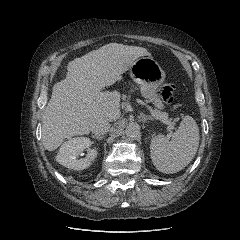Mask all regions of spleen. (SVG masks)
Masks as SVG:
<instances>
[{"label":"spleen","instance_id":"spleen-1","mask_svg":"<svg viewBox=\"0 0 240 240\" xmlns=\"http://www.w3.org/2000/svg\"><path fill=\"white\" fill-rule=\"evenodd\" d=\"M198 146V125L191 116H185L171 140L163 135L152 139L150 144L151 159L159 171L176 173L192 161Z\"/></svg>","mask_w":240,"mask_h":240}]
</instances>
